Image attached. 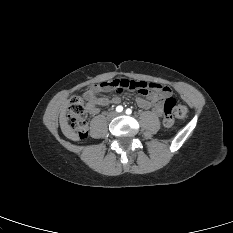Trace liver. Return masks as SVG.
Listing matches in <instances>:
<instances>
[{
	"label": "liver",
	"instance_id": "1",
	"mask_svg": "<svg viewBox=\"0 0 233 233\" xmlns=\"http://www.w3.org/2000/svg\"><path fill=\"white\" fill-rule=\"evenodd\" d=\"M67 107H68V101L67 100L62 101L60 106L59 123H60V128L64 135H68L70 133V126L68 125L67 117H66Z\"/></svg>",
	"mask_w": 233,
	"mask_h": 233
}]
</instances>
